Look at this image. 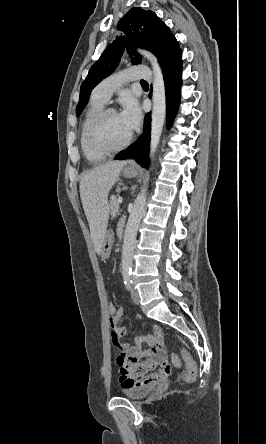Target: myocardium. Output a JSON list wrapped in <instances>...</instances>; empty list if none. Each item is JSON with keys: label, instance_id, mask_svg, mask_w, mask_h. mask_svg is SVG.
<instances>
[{"label": "myocardium", "instance_id": "obj_1", "mask_svg": "<svg viewBox=\"0 0 266 444\" xmlns=\"http://www.w3.org/2000/svg\"><path fill=\"white\" fill-rule=\"evenodd\" d=\"M110 113H118L114 108H103L100 110L90 121L86 130V143L90 150L100 154H112L119 152L130 145L133 139V133L131 132L127 139L119 146L116 147H102L99 146L94 140V134L97 126L100 122Z\"/></svg>", "mask_w": 266, "mask_h": 444}]
</instances>
